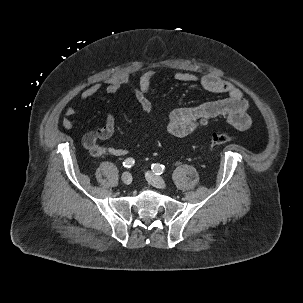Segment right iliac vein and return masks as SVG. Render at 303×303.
I'll list each match as a JSON object with an SVG mask.
<instances>
[{
	"mask_svg": "<svg viewBox=\"0 0 303 303\" xmlns=\"http://www.w3.org/2000/svg\"><path fill=\"white\" fill-rule=\"evenodd\" d=\"M121 180L124 184L129 185L132 182V176L129 172H124L121 176Z\"/></svg>",
	"mask_w": 303,
	"mask_h": 303,
	"instance_id": "obj_1",
	"label": "right iliac vein"
}]
</instances>
